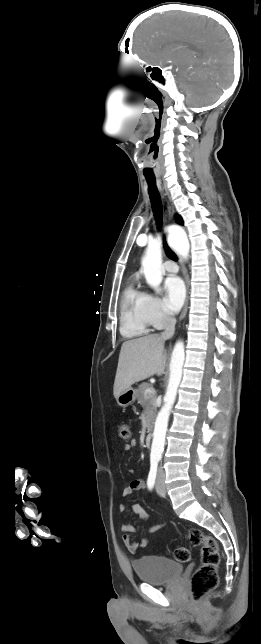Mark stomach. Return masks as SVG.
Here are the masks:
<instances>
[{
	"label": "stomach",
	"mask_w": 261,
	"mask_h": 644,
	"mask_svg": "<svg viewBox=\"0 0 261 644\" xmlns=\"http://www.w3.org/2000/svg\"><path fill=\"white\" fill-rule=\"evenodd\" d=\"M137 397V390L133 389L132 387H129L126 389L124 392H122L117 398V403L118 405L122 407H127L129 405H132Z\"/></svg>",
	"instance_id": "0dacf381"
}]
</instances>
